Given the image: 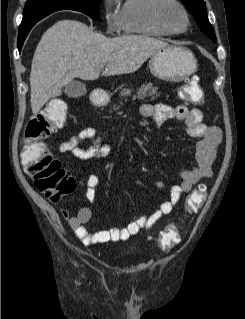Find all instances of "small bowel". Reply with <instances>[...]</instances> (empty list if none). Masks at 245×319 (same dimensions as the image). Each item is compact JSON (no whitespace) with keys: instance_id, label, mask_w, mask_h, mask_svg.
<instances>
[{"instance_id":"c3829d8e","label":"small bowel","mask_w":245,"mask_h":319,"mask_svg":"<svg viewBox=\"0 0 245 319\" xmlns=\"http://www.w3.org/2000/svg\"><path fill=\"white\" fill-rule=\"evenodd\" d=\"M140 115L142 118H152L157 125L169 119L182 121L187 135L199 140L194 165L182 172V181L172 186L170 198L162 202L156 211L150 215L133 216L124 228H110L92 234L85 227L92 215L88 207L81 208L73 216L67 209H62L61 216L68 220L71 229L84 245L124 241L143 229H151L162 216L172 212L184 193L191 191L202 179L212 174V163L216 156L217 146L222 139V133L217 127L203 124V113L200 109L189 108L185 105L172 107L166 104H144L140 108ZM90 139L94 142L92 147L86 149L80 147L82 142ZM58 149L60 152L71 153L82 160L101 159L111 151L110 146L103 142L101 136L92 127L72 134L68 140L60 143ZM100 182V177L96 174H91L86 178L85 195L89 201H94L96 188Z\"/></svg>"}]
</instances>
